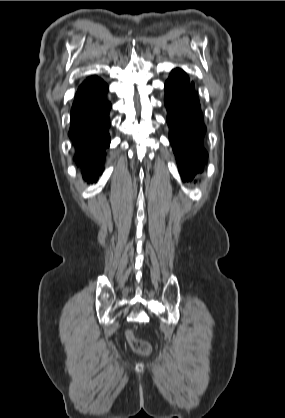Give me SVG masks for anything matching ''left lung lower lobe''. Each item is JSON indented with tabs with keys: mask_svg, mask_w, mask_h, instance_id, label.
<instances>
[{
	"mask_svg": "<svg viewBox=\"0 0 285 418\" xmlns=\"http://www.w3.org/2000/svg\"><path fill=\"white\" fill-rule=\"evenodd\" d=\"M164 103L178 169L183 181H190L203 171L208 153L202 144L206 128L198 92L183 70L176 68L171 72L165 83Z\"/></svg>",
	"mask_w": 285,
	"mask_h": 418,
	"instance_id": "0a47b994",
	"label": "left lung lower lobe"
}]
</instances>
